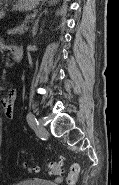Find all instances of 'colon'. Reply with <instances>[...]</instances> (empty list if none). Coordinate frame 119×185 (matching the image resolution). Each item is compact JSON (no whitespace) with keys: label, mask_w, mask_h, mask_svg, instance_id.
<instances>
[{"label":"colon","mask_w":119,"mask_h":185,"mask_svg":"<svg viewBox=\"0 0 119 185\" xmlns=\"http://www.w3.org/2000/svg\"><path fill=\"white\" fill-rule=\"evenodd\" d=\"M64 169V163L62 160H58V161H53L50 162L46 165V171L49 174H61L63 172ZM31 170L37 172L39 171V168L37 166H34L31 168ZM79 174H80V166L78 164H73L70 168V171L67 175V179L66 182L68 185H76L79 179Z\"/></svg>","instance_id":"1"}]
</instances>
